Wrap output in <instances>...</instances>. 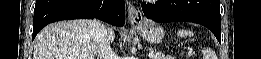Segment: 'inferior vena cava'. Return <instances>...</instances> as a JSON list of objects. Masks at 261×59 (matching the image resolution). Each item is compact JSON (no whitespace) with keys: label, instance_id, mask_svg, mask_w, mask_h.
<instances>
[{"label":"inferior vena cava","instance_id":"obj_1","mask_svg":"<svg viewBox=\"0 0 261 59\" xmlns=\"http://www.w3.org/2000/svg\"><path fill=\"white\" fill-rule=\"evenodd\" d=\"M92 33L97 44L98 59H117L111 49V39L106 26L102 22L94 20L92 22Z\"/></svg>","mask_w":261,"mask_h":59}]
</instances>
